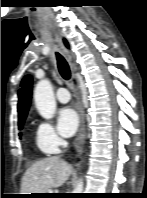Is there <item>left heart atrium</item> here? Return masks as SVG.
Here are the masks:
<instances>
[{"label":"left heart atrium","mask_w":147,"mask_h":198,"mask_svg":"<svg viewBox=\"0 0 147 198\" xmlns=\"http://www.w3.org/2000/svg\"><path fill=\"white\" fill-rule=\"evenodd\" d=\"M57 121L59 132L64 137L72 136L79 124L78 114L70 107H65L59 111Z\"/></svg>","instance_id":"39dd6f15"}]
</instances>
